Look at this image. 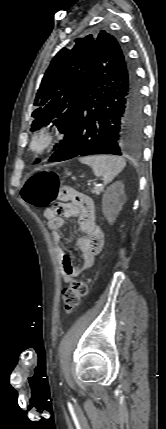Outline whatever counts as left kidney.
<instances>
[{
	"instance_id": "obj_1",
	"label": "left kidney",
	"mask_w": 166,
	"mask_h": 429,
	"mask_svg": "<svg viewBox=\"0 0 166 429\" xmlns=\"http://www.w3.org/2000/svg\"><path fill=\"white\" fill-rule=\"evenodd\" d=\"M126 202L124 184L117 181L110 185L102 197V212L109 224H113Z\"/></svg>"
}]
</instances>
